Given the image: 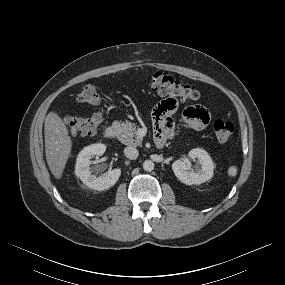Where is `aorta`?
I'll return each instance as SVG.
<instances>
[{"label":"aorta","mask_w":285,"mask_h":285,"mask_svg":"<svg viewBox=\"0 0 285 285\" xmlns=\"http://www.w3.org/2000/svg\"><path fill=\"white\" fill-rule=\"evenodd\" d=\"M154 162L151 160H145L143 162V169L147 172H151L154 169Z\"/></svg>","instance_id":"obj_1"}]
</instances>
